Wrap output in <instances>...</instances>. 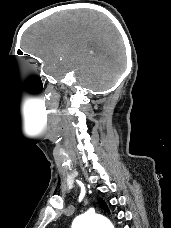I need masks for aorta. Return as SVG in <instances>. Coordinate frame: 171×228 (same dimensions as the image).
I'll return each instance as SVG.
<instances>
[{
    "instance_id": "1",
    "label": "aorta",
    "mask_w": 171,
    "mask_h": 228,
    "mask_svg": "<svg viewBox=\"0 0 171 228\" xmlns=\"http://www.w3.org/2000/svg\"><path fill=\"white\" fill-rule=\"evenodd\" d=\"M72 228H114L113 224L104 216L85 213L76 217Z\"/></svg>"
}]
</instances>
